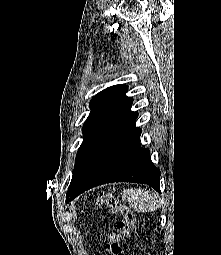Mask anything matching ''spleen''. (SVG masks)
I'll list each match as a JSON object with an SVG mask.
<instances>
[{"label":"spleen","instance_id":"spleen-1","mask_svg":"<svg viewBox=\"0 0 221 255\" xmlns=\"http://www.w3.org/2000/svg\"><path fill=\"white\" fill-rule=\"evenodd\" d=\"M122 198L138 213L154 212L161 206L160 201L154 193L141 188L125 189Z\"/></svg>","mask_w":221,"mask_h":255}]
</instances>
